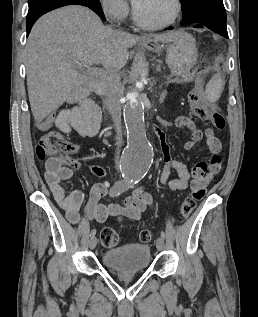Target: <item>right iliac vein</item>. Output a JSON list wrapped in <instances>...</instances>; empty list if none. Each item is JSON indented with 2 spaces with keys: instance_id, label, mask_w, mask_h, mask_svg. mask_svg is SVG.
<instances>
[{
  "instance_id": "63e3f726",
  "label": "right iliac vein",
  "mask_w": 258,
  "mask_h": 317,
  "mask_svg": "<svg viewBox=\"0 0 258 317\" xmlns=\"http://www.w3.org/2000/svg\"><path fill=\"white\" fill-rule=\"evenodd\" d=\"M90 244H89V248L91 247L92 249H95V246L97 245V240H96V237L93 235L92 237H91V240H90V242H89Z\"/></svg>"
}]
</instances>
